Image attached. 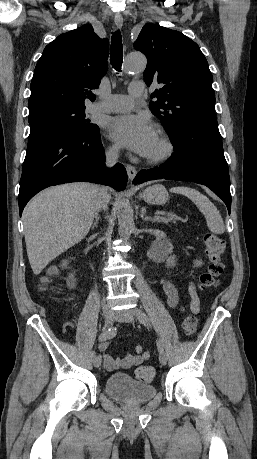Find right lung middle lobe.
<instances>
[{
    "mask_svg": "<svg viewBox=\"0 0 257 459\" xmlns=\"http://www.w3.org/2000/svg\"><path fill=\"white\" fill-rule=\"evenodd\" d=\"M29 124L52 125L72 133H88L98 129L85 118V107L52 106L29 112Z\"/></svg>",
    "mask_w": 257,
    "mask_h": 459,
    "instance_id": "right-lung-middle-lobe-1",
    "label": "right lung middle lobe"
}]
</instances>
